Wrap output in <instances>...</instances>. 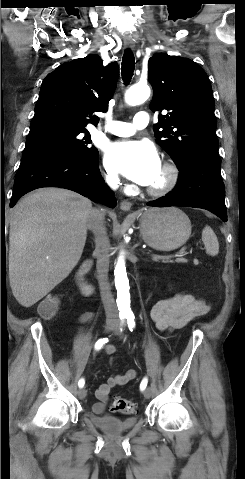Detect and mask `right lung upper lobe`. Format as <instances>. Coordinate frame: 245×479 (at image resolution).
<instances>
[{
	"label": "right lung upper lobe",
	"mask_w": 245,
	"mask_h": 479,
	"mask_svg": "<svg viewBox=\"0 0 245 479\" xmlns=\"http://www.w3.org/2000/svg\"><path fill=\"white\" fill-rule=\"evenodd\" d=\"M118 67L103 66L99 56L91 55L64 63L44 79L30 128L65 125L85 129L97 125L94 112H105L116 89Z\"/></svg>",
	"instance_id": "cb5924a9"
}]
</instances>
